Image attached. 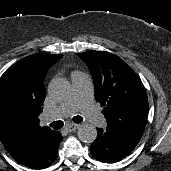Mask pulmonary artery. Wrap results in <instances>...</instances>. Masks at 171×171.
<instances>
[{
    "label": "pulmonary artery",
    "instance_id": "obj_1",
    "mask_svg": "<svg viewBox=\"0 0 171 171\" xmlns=\"http://www.w3.org/2000/svg\"><path fill=\"white\" fill-rule=\"evenodd\" d=\"M71 81L73 86L72 95L56 109L46 113L45 120L51 122L81 111L93 126H103L105 118L93 105V87L90 76L86 73L76 72L72 74Z\"/></svg>",
    "mask_w": 171,
    "mask_h": 171
}]
</instances>
